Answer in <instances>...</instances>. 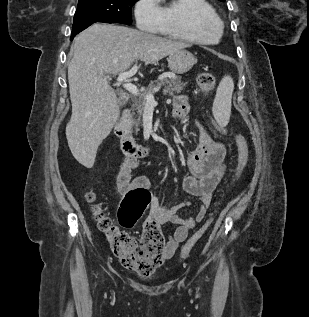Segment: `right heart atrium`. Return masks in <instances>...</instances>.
<instances>
[{"label":"right heart atrium","instance_id":"d8ad5b80","mask_svg":"<svg viewBox=\"0 0 309 317\" xmlns=\"http://www.w3.org/2000/svg\"><path fill=\"white\" fill-rule=\"evenodd\" d=\"M137 26L146 32H156L162 24L159 0H137L134 4Z\"/></svg>","mask_w":309,"mask_h":317}]
</instances>
